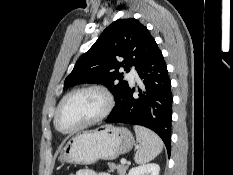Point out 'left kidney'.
Returning a JSON list of instances; mask_svg holds the SVG:
<instances>
[{
	"instance_id": "5707ae66",
	"label": "left kidney",
	"mask_w": 233,
	"mask_h": 175,
	"mask_svg": "<svg viewBox=\"0 0 233 175\" xmlns=\"http://www.w3.org/2000/svg\"><path fill=\"white\" fill-rule=\"evenodd\" d=\"M160 167L158 164L150 163L132 168L128 175H159Z\"/></svg>"
}]
</instances>
